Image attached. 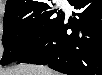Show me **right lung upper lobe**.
I'll return each instance as SVG.
<instances>
[{"instance_id": "cb5924a9", "label": "right lung upper lobe", "mask_w": 102, "mask_h": 75, "mask_svg": "<svg viewBox=\"0 0 102 75\" xmlns=\"http://www.w3.org/2000/svg\"><path fill=\"white\" fill-rule=\"evenodd\" d=\"M50 0H7L5 15L12 14L21 10L36 9Z\"/></svg>"}]
</instances>
